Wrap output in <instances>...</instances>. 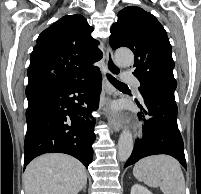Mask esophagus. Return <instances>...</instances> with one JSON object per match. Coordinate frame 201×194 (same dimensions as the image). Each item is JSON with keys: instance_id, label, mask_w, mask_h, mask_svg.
<instances>
[{"instance_id": "esophagus-1", "label": "esophagus", "mask_w": 201, "mask_h": 194, "mask_svg": "<svg viewBox=\"0 0 201 194\" xmlns=\"http://www.w3.org/2000/svg\"><path fill=\"white\" fill-rule=\"evenodd\" d=\"M105 59H106V67H107L108 73L113 75V76H118L121 72V69L115 63L114 57H113V52L109 47H107V49H106ZM107 93L109 95V97L107 99L109 102L111 99V95L113 94V91L110 87L107 89ZM108 123L110 124L111 128L115 132H119V130L121 129L120 118L111 112H109V115H108Z\"/></svg>"}]
</instances>
